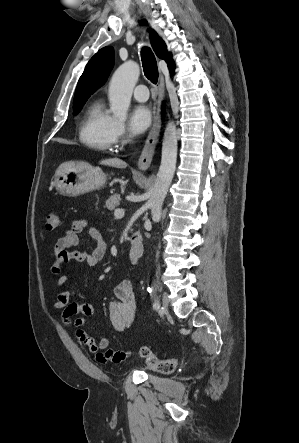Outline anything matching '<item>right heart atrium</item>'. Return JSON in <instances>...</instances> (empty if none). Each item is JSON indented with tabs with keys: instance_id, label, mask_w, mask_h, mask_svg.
Instances as JSON below:
<instances>
[{
	"instance_id": "right-heart-atrium-1",
	"label": "right heart atrium",
	"mask_w": 299,
	"mask_h": 443,
	"mask_svg": "<svg viewBox=\"0 0 299 443\" xmlns=\"http://www.w3.org/2000/svg\"><path fill=\"white\" fill-rule=\"evenodd\" d=\"M126 126L123 122L115 120L113 124V140L114 143L122 142L126 138Z\"/></svg>"
}]
</instances>
